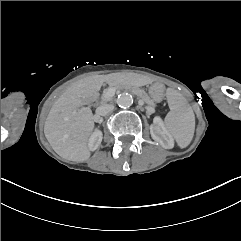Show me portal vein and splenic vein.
<instances>
[{"mask_svg": "<svg viewBox=\"0 0 241 241\" xmlns=\"http://www.w3.org/2000/svg\"><path fill=\"white\" fill-rule=\"evenodd\" d=\"M106 93H107V96L113 97L114 94H115V89L114 88H109Z\"/></svg>", "mask_w": 241, "mask_h": 241, "instance_id": "1", "label": "portal vein and splenic vein"}]
</instances>
